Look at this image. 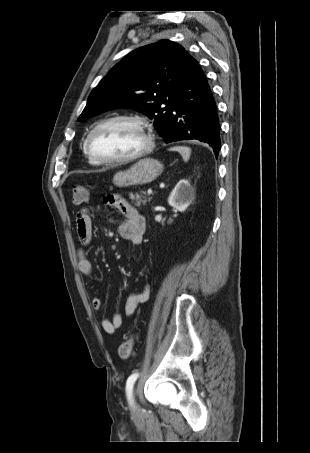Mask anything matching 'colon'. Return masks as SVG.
<instances>
[{"instance_id": "5ec220e1", "label": "colon", "mask_w": 310, "mask_h": 453, "mask_svg": "<svg viewBox=\"0 0 310 453\" xmlns=\"http://www.w3.org/2000/svg\"><path fill=\"white\" fill-rule=\"evenodd\" d=\"M88 200V190L84 185H74L72 187V201L76 205L84 204ZM135 338L133 336L126 337L124 342L118 348V356L120 359L126 360L133 355Z\"/></svg>"}]
</instances>
